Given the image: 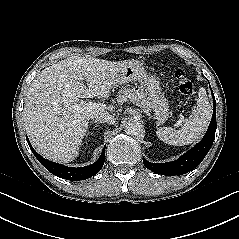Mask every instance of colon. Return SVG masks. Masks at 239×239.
Wrapping results in <instances>:
<instances>
[{
    "mask_svg": "<svg viewBox=\"0 0 239 239\" xmlns=\"http://www.w3.org/2000/svg\"><path fill=\"white\" fill-rule=\"evenodd\" d=\"M175 76L178 80L179 91L186 98L191 99L195 94L193 83L186 77L185 72L181 69L177 70Z\"/></svg>",
    "mask_w": 239,
    "mask_h": 239,
    "instance_id": "5ec220e1",
    "label": "colon"
}]
</instances>
